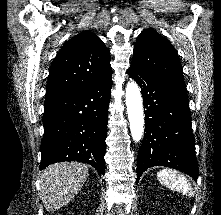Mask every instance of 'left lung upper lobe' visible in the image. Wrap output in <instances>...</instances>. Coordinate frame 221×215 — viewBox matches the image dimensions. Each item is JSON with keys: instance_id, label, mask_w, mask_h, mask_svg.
I'll use <instances>...</instances> for the list:
<instances>
[{"instance_id": "1", "label": "left lung upper lobe", "mask_w": 221, "mask_h": 215, "mask_svg": "<svg viewBox=\"0 0 221 215\" xmlns=\"http://www.w3.org/2000/svg\"><path fill=\"white\" fill-rule=\"evenodd\" d=\"M130 67L186 91L182 66L175 48L152 29H146L138 36Z\"/></svg>"}]
</instances>
